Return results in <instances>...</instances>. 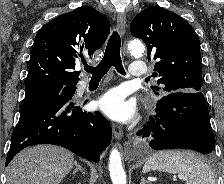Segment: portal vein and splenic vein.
Listing matches in <instances>:
<instances>
[{
	"label": "portal vein and splenic vein",
	"mask_w": 224,
	"mask_h": 184,
	"mask_svg": "<svg viewBox=\"0 0 224 184\" xmlns=\"http://www.w3.org/2000/svg\"><path fill=\"white\" fill-rule=\"evenodd\" d=\"M178 178H179L180 180H184V179H185V177H184L183 175H179Z\"/></svg>",
	"instance_id": "18ae733b"
}]
</instances>
